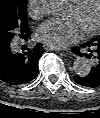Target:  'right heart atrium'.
I'll return each instance as SVG.
<instances>
[{"mask_svg": "<svg viewBox=\"0 0 100 118\" xmlns=\"http://www.w3.org/2000/svg\"><path fill=\"white\" fill-rule=\"evenodd\" d=\"M28 11L31 17L40 18L45 14V0H28Z\"/></svg>", "mask_w": 100, "mask_h": 118, "instance_id": "d8ad5b80", "label": "right heart atrium"}]
</instances>
